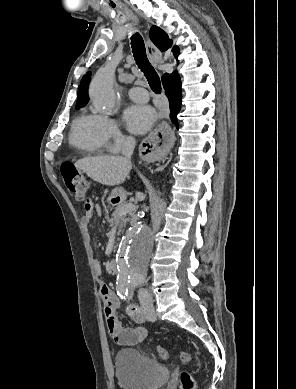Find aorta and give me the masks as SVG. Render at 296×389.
I'll return each instance as SVG.
<instances>
[{"mask_svg": "<svg viewBox=\"0 0 296 389\" xmlns=\"http://www.w3.org/2000/svg\"><path fill=\"white\" fill-rule=\"evenodd\" d=\"M114 73L112 66L105 65L96 72L90 85L95 103L109 111L114 110L117 104ZM152 246V230L144 221L136 222L121 241L117 251L119 286L129 288L144 282Z\"/></svg>", "mask_w": 296, "mask_h": 389, "instance_id": "762f6f07", "label": "aorta"}]
</instances>
